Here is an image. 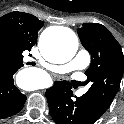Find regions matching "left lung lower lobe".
Listing matches in <instances>:
<instances>
[{"mask_svg": "<svg viewBox=\"0 0 124 124\" xmlns=\"http://www.w3.org/2000/svg\"><path fill=\"white\" fill-rule=\"evenodd\" d=\"M72 86L67 81L55 82L46 90L49 112L57 124H93L99 118L83 97L72 99Z\"/></svg>", "mask_w": 124, "mask_h": 124, "instance_id": "1", "label": "left lung lower lobe"}]
</instances>
